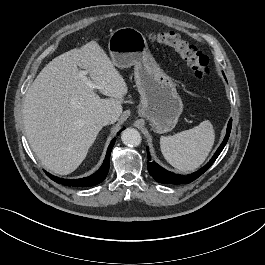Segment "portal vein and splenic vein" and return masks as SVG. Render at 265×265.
Listing matches in <instances>:
<instances>
[{"label": "portal vein and splenic vein", "mask_w": 265, "mask_h": 265, "mask_svg": "<svg viewBox=\"0 0 265 265\" xmlns=\"http://www.w3.org/2000/svg\"><path fill=\"white\" fill-rule=\"evenodd\" d=\"M79 76L83 79V81L87 84L89 88H97V86L90 79L87 78L85 71H80Z\"/></svg>", "instance_id": "18ae733b"}]
</instances>
